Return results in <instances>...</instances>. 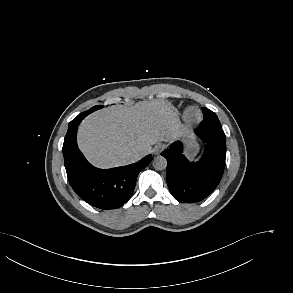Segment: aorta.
Returning <instances> with one entry per match:
<instances>
[{
  "mask_svg": "<svg viewBox=\"0 0 293 293\" xmlns=\"http://www.w3.org/2000/svg\"><path fill=\"white\" fill-rule=\"evenodd\" d=\"M153 167L156 170H164L167 167V160L163 156H157L153 160Z\"/></svg>",
  "mask_w": 293,
  "mask_h": 293,
  "instance_id": "1",
  "label": "aorta"
}]
</instances>
